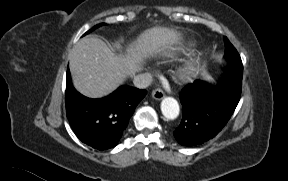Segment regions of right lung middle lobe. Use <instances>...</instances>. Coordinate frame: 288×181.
<instances>
[{
    "mask_svg": "<svg viewBox=\"0 0 288 181\" xmlns=\"http://www.w3.org/2000/svg\"><path fill=\"white\" fill-rule=\"evenodd\" d=\"M103 24H98L96 26H94L92 29H90L89 31H87L84 35L88 34L89 32L93 31L94 29L98 28L99 26H101Z\"/></svg>",
    "mask_w": 288,
    "mask_h": 181,
    "instance_id": "obj_1",
    "label": "right lung middle lobe"
}]
</instances>
